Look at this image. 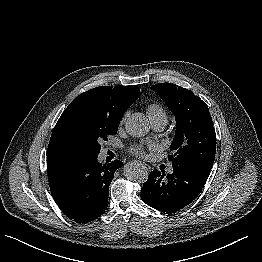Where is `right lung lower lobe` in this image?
<instances>
[{"label": "right lung lower lobe", "mask_w": 262, "mask_h": 262, "mask_svg": "<svg viewBox=\"0 0 262 262\" xmlns=\"http://www.w3.org/2000/svg\"><path fill=\"white\" fill-rule=\"evenodd\" d=\"M96 156H47L51 194L70 219L78 223L98 218L108 206L109 185L119 160L102 165Z\"/></svg>", "instance_id": "right-lung-lower-lobe-1"}]
</instances>
